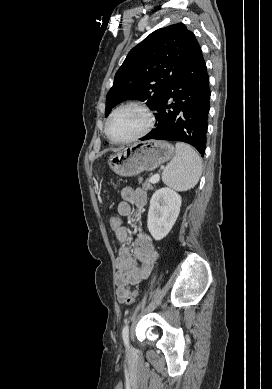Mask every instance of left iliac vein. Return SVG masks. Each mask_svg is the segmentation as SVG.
Wrapping results in <instances>:
<instances>
[{
    "mask_svg": "<svg viewBox=\"0 0 272 389\" xmlns=\"http://www.w3.org/2000/svg\"><path fill=\"white\" fill-rule=\"evenodd\" d=\"M128 350H131V346H128Z\"/></svg>",
    "mask_w": 272,
    "mask_h": 389,
    "instance_id": "obj_1",
    "label": "left iliac vein"
}]
</instances>
